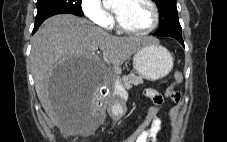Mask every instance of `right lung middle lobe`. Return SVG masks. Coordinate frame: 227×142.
I'll return each mask as SVG.
<instances>
[{
	"mask_svg": "<svg viewBox=\"0 0 227 142\" xmlns=\"http://www.w3.org/2000/svg\"><path fill=\"white\" fill-rule=\"evenodd\" d=\"M81 1L82 0H38L36 19L50 17L59 13H70L82 16Z\"/></svg>",
	"mask_w": 227,
	"mask_h": 142,
	"instance_id": "right-lung-middle-lobe-1",
	"label": "right lung middle lobe"
}]
</instances>
